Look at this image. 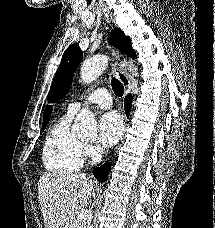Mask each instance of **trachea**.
<instances>
[{
  "mask_svg": "<svg viewBox=\"0 0 215 228\" xmlns=\"http://www.w3.org/2000/svg\"><path fill=\"white\" fill-rule=\"evenodd\" d=\"M111 86H112V90L114 91L115 95H117V97H122L124 90H123V85L122 83L117 80V78H112L111 80Z\"/></svg>",
  "mask_w": 215,
  "mask_h": 228,
  "instance_id": "1",
  "label": "trachea"
}]
</instances>
